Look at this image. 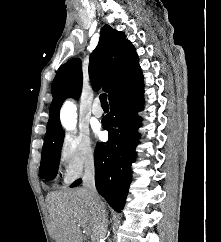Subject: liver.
I'll list each match as a JSON object with an SVG mask.
<instances>
[{"label":"liver","instance_id":"6515ba94","mask_svg":"<svg viewBox=\"0 0 221 242\" xmlns=\"http://www.w3.org/2000/svg\"><path fill=\"white\" fill-rule=\"evenodd\" d=\"M47 203L56 242H83L81 227L94 237L95 209L83 188L49 193Z\"/></svg>","mask_w":221,"mask_h":242}]
</instances>
